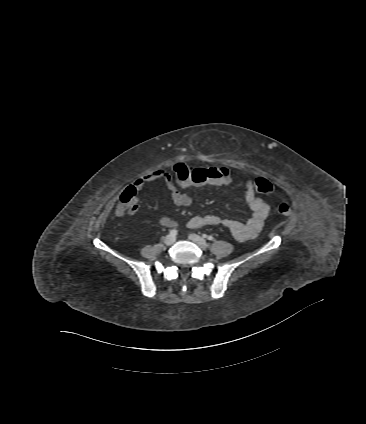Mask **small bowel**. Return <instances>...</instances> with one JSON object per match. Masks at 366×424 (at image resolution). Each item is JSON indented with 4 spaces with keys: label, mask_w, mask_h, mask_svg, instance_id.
<instances>
[{
    "label": "small bowel",
    "mask_w": 366,
    "mask_h": 424,
    "mask_svg": "<svg viewBox=\"0 0 366 424\" xmlns=\"http://www.w3.org/2000/svg\"><path fill=\"white\" fill-rule=\"evenodd\" d=\"M221 170L229 171L225 167H217L216 172H218L221 177L217 178V180H214L210 185H224L230 181V173L228 172V181L225 182L223 180V177L225 176ZM156 179L164 180L169 190L171 199L177 206L191 205V197L179 191V189L174 184L170 174L164 170H156L138 178L134 182L133 188L140 189L146 183ZM255 189V181L251 179L247 180L245 183L244 200L248 207L251 209L252 213L246 222L226 219L217 215L208 214L192 217L188 221L187 227L189 229H199L205 226H223L227 228L232 236L238 241H246L255 238L264 226L269 213L268 204L256 195ZM159 224L163 227L172 228L177 226V221L171 217H161L159 219Z\"/></svg>",
    "instance_id": "obj_1"
}]
</instances>
